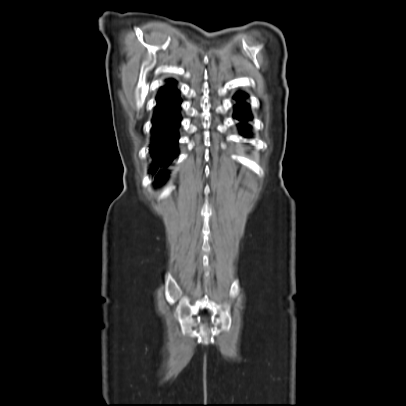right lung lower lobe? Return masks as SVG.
Segmentation results:
<instances>
[{"instance_id": "right-lung-lower-lobe-1", "label": "right lung lower lobe", "mask_w": 406, "mask_h": 406, "mask_svg": "<svg viewBox=\"0 0 406 406\" xmlns=\"http://www.w3.org/2000/svg\"><path fill=\"white\" fill-rule=\"evenodd\" d=\"M181 99L178 95L174 81H168L157 96L156 111L152 121V145L150 154L152 157L151 173L155 174L158 169L168 166L178 155V131L181 117L179 109ZM168 172L160 170L156 176L157 181H162Z\"/></svg>"}]
</instances>
